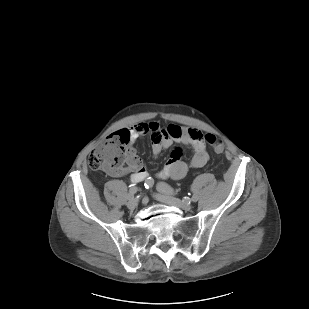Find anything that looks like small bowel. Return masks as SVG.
<instances>
[{
    "label": "small bowel",
    "instance_id": "obj_1",
    "mask_svg": "<svg viewBox=\"0 0 309 309\" xmlns=\"http://www.w3.org/2000/svg\"><path fill=\"white\" fill-rule=\"evenodd\" d=\"M120 136L127 138L129 145L126 154V166L118 171L111 172L114 177H122L131 174V180L139 182L146 179L148 172L141 158H139L133 144L144 135H150L152 139V150L158 155L162 150L170 147L173 143L189 146L193 155L189 160L183 159V150L178 147L171 153L168 162L158 171L159 178H170L179 180L183 178L190 169L201 168L208 161L204 136L196 128H185L178 124L171 123L162 127L158 121L141 122L130 128H123L117 132Z\"/></svg>",
    "mask_w": 309,
    "mask_h": 309
}]
</instances>
